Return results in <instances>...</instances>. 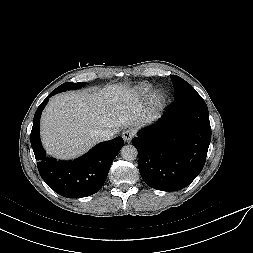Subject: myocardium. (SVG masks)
Instances as JSON below:
<instances>
[{
  "mask_svg": "<svg viewBox=\"0 0 253 253\" xmlns=\"http://www.w3.org/2000/svg\"><path fill=\"white\" fill-rule=\"evenodd\" d=\"M157 98H158V99H161V98H162V95H161V94H158V95H157Z\"/></svg>",
  "mask_w": 253,
  "mask_h": 253,
  "instance_id": "myocardium-1",
  "label": "myocardium"
}]
</instances>
